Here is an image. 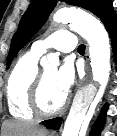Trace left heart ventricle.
<instances>
[{
  "label": "left heart ventricle",
  "mask_w": 117,
  "mask_h": 136,
  "mask_svg": "<svg viewBox=\"0 0 117 136\" xmlns=\"http://www.w3.org/2000/svg\"><path fill=\"white\" fill-rule=\"evenodd\" d=\"M44 81L41 90V104L46 110H54L59 107L65 97L56 86V69L49 68L43 71Z\"/></svg>",
  "instance_id": "1"
}]
</instances>
